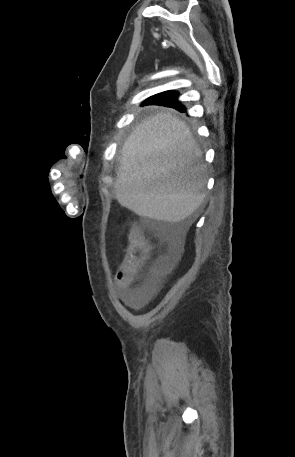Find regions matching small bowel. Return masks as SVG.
I'll return each instance as SVG.
<instances>
[{
  "instance_id": "obj_1",
  "label": "small bowel",
  "mask_w": 295,
  "mask_h": 457,
  "mask_svg": "<svg viewBox=\"0 0 295 457\" xmlns=\"http://www.w3.org/2000/svg\"><path fill=\"white\" fill-rule=\"evenodd\" d=\"M117 281L120 288L123 290V298L129 306L140 308L150 300L151 293L148 288H130L133 277L118 273Z\"/></svg>"
}]
</instances>
